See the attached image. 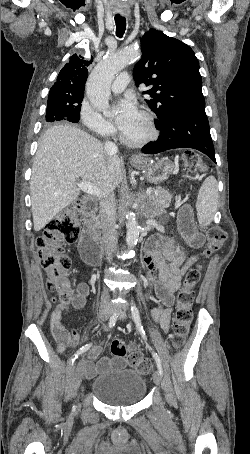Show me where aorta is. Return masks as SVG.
<instances>
[{"instance_id":"aorta-1","label":"aorta","mask_w":250,"mask_h":454,"mask_svg":"<svg viewBox=\"0 0 250 454\" xmlns=\"http://www.w3.org/2000/svg\"><path fill=\"white\" fill-rule=\"evenodd\" d=\"M139 55L135 47H128L108 54L91 72L87 85L86 94L90 103L104 115L111 113L109 109L110 86L116 75ZM126 243L128 247H134L139 238L140 226L135 214H126Z\"/></svg>"}]
</instances>
